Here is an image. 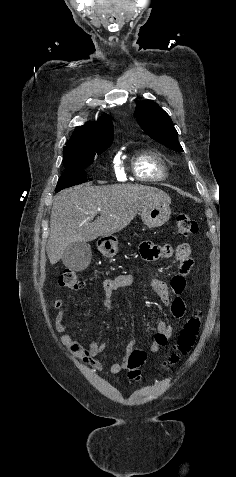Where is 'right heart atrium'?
I'll return each mask as SVG.
<instances>
[{"mask_svg": "<svg viewBox=\"0 0 236 477\" xmlns=\"http://www.w3.org/2000/svg\"><path fill=\"white\" fill-rule=\"evenodd\" d=\"M115 170H116V172L119 176H121V177L123 176V172H122V170L120 169V167L117 163H115Z\"/></svg>", "mask_w": 236, "mask_h": 477, "instance_id": "obj_1", "label": "right heart atrium"}]
</instances>
